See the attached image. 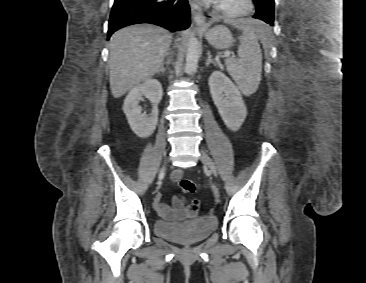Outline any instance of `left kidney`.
I'll return each instance as SVG.
<instances>
[{"instance_id":"obj_1","label":"left kidney","mask_w":366,"mask_h":283,"mask_svg":"<svg viewBox=\"0 0 366 283\" xmlns=\"http://www.w3.org/2000/svg\"><path fill=\"white\" fill-rule=\"evenodd\" d=\"M210 93L225 125L237 131L245 121L247 108L237 86L221 71L209 78Z\"/></svg>"}]
</instances>
